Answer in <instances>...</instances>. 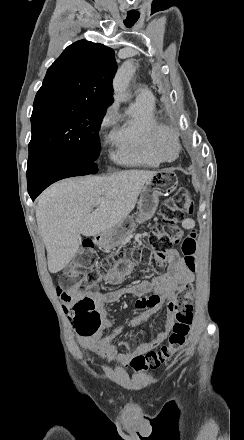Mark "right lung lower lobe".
Listing matches in <instances>:
<instances>
[{
    "label": "right lung lower lobe",
    "instance_id": "right-lung-lower-lobe-1",
    "mask_svg": "<svg viewBox=\"0 0 244 440\" xmlns=\"http://www.w3.org/2000/svg\"><path fill=\"white\" fill-rule=\"evenodd\" d=\"M95 161L85 162L69 155L52 152L29 154L28 193L32 200L52 183L73 176L97 173Z\"/></svg>",
    "mask_w": 244,
    "mask_h": 440
}]
</instances>
